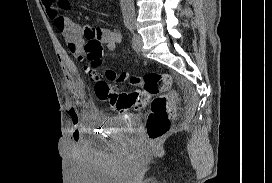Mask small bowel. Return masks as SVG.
<instances>
[{"label":"small bowel","instance_id":"c3829d8e","mask_svg":"<svg viewBox=\"0 0 272 183\" xmlns=\"http://www.w3.org/2000/svg\"><path fill=\"white\" fill-rule=\"evenodd\" d=\"M49 18L65 39L68 49L76 58H81L85 43L89 41L100 42L111 51L121 43L122 35L118 31L91 25H79L66 17L62 10L66 7L65 0H41Z\"/></svg>","mask_w":272,"mask_h":183}]
</instances>
